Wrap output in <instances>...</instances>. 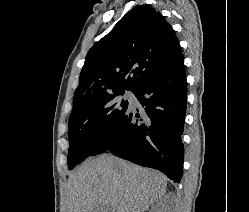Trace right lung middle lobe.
<instances>
[{"label": "right lung middle lobe", "mask_w": 249, "mask_h": 212, "mask_svg": "<svg viewBox=\"0 0 249 212\" xmlns=\"http://www.w3.org/2000/svg\"><path fill=\"white\" fill-rule=\"evenodd\" d=\"M118 92L72 109L69 117L68 167L72 169L88 156L97 154L103 140L128 110V101L118 100Z\"/></svg>", "instance_id": "dd1d6c3e"}]
</instances>
